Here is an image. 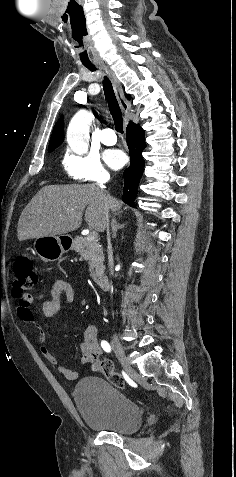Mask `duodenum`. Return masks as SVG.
I'll return each instance as SVG.
<instances>
[{
    "mask_svg": "<svg viewBox=\"0 0 236 477\" xmlns=\"http://www.w3.org/2000/svg\"><path fill=\"white\" fill-rule=\"evenodd\" d=\"M72 244V241L71 240H67L66 242V246L69 247L71 246ZM96 283H97V286L100 290L102 291H106L109 289L110 287V283H109V279L106 277V276H100L96 279Z\"/></svg>",
    "mask_w": 236,
    "mask_h": 477,
    "instance_id": "1",
    "label": "duodenum"
}]
</instances>
